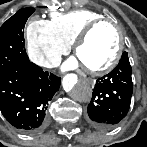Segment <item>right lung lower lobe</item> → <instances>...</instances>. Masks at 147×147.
I'll use <instances>...</instances> for the list:
<instances>
[{"label": "right lung lower lobe", "mask_w": 147, "mask_h": 147, "mask_svg": "<svg viewBox=\"0 0 147 147\" xmlns=\"http://www.w3.org/2000/svg\"><path fill=\"white\" fill-rule=\"evenodd\" d=\"M60 78L28 61L0 74V110L6 120L25 133L47 125L48 102L60 87Z\"/></svg>", "instance_id": "obj_1"}]
</instances>
